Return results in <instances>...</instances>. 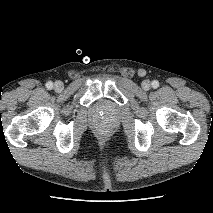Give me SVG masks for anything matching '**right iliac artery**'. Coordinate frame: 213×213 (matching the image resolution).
<instances>
[{
    "instance_id": "obj_1",
    "label": "right iliac artery",
    "mask_w": 213,
    "mask_h": 213,
    "mask_svg": "<svg viewBox=\"0 0 213 213\" xmlns=\"http://www.w3.org/2000/svg\"><path fill=\"white\" fill-rule=\"evenodd\" d=\"M46 87H47V89H52L53 88V83L51 82V81H49V82H47L46 83Z\"/></svg>"
}]
</instances>
